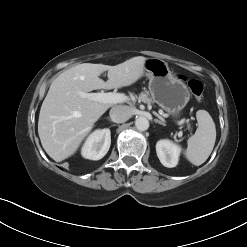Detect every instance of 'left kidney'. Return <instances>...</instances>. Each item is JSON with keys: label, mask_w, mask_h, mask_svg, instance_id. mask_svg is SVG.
<instances>
[{"label": "left kidney", "mask_w": 247, "mask_h": 247, "mask_svg": "<svg viewBox=\"0 0 247 247\" xmlns=\"http://www.w3.org/2000/svg\"><path fill=\"white\" fill-rule=\"evenodd\" d=\"M180 146L169 140H160L156 144V153L163 166L172 168L178 164Z\"/></svg>", "instance_id": "left-kidney-1"}]
</instances>
